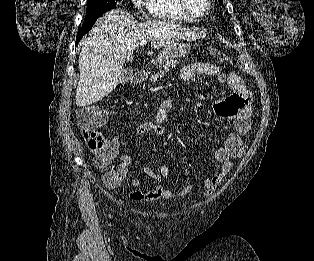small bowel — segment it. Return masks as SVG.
I'll return each instance as SVG.
<instances>
[{"instance_id":"1","label":"small bowel","mask_w":314,"mask_h":261,"mask_svg":"<svg viewBox=\"0 0 314 261\" xmlns=\"http://www.w3.org/2000/svg\"><path fill=\"white\" fill-rule=\"evenodd\" d=\"M196 75H208L215 77H224L227 85L232 91V94L226 98L218 100L214 104V111L216 115L221 119L234 120V131L229 132L222 145L214 151V159L217 162L216 172L213 176L208 177L203 182V196H210L214 193L218 185L223 181L225 176L230 172L232 168V160L239 158L243 155L245 145L241 138L242 135L247 134L251 128V115H252V95L247 89L243 79L234 72H224L222 69L212 63L195 62L184 66L181 70V79L183 81H190ZM171 106L170 100H165L156 115L155 121L144 122L137 128V134L144 136L149 133L156 135H164L165 128L163 126V120L166 113ZM115 146V151L107 160L106 166H99L96 161V166L100 169L106 168L110 162L118 157L119 165L116 170L109 171L118 173L123 180L128 172V168L132 163V159L127 154H119V142L112 140ZM145 173L156 183L152 189L142 192L139 190H132L129 192V197L133 200H147L152 201L160 197L171 198L172 191L159 184L162 177L169 176L171 174L170 167L166 165H160L158 171L151 166L144 168ZM132 187L139 189L144 186L143 182L139 178H132L130 180ZM192 191V185L186 184L179 191L180 196H186Z\"/></svg>"}]
</instances>
